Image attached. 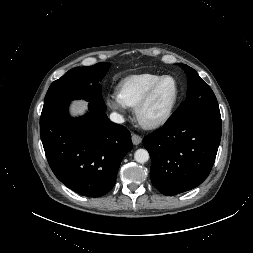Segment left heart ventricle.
<instances>
[{"mask_svg": "<svg viewBox=\"0 0 253 253\" xmlns=\"http://www.w3.org/2000/svg\"><path fill=\"white\" fill-rule=\"evenodd\" d=\"M174 94L175 84L173 80L166 79L163 81L145 109L143 114L144 119L152 121L162 116L172 101Z\"/></svg>", "mask_w": 253, "mask_h": 253, "instance_id": "left-heart-ventricle-1", "label": "left heart ventricle"}]
</instances>
